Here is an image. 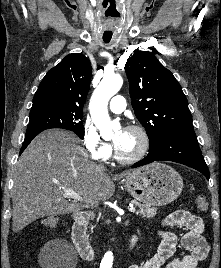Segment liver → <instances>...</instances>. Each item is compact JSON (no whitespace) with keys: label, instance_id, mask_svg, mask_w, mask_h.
I'll list each match as a JSON object with an SVG mask.
<instances>
[{"label":"liver","instance_id":"liver-1","mask_svg":"<svg viewBox=\"0 0 221 268\" xmlns=\"http://www.w3.org/2000/svg\"><path fill=\"white\" fill-rule=\"evenodd\" d=\"M77 142L71 132L47 130L22 153L14 168L13 232L39 218L94 207L113 196V180L129 172L111 179L105 168L88 159ZM62 187L78 193L83 204L66 200Z\"/></svg>","mask_w":221,"mask_h":268}]
</instances>
